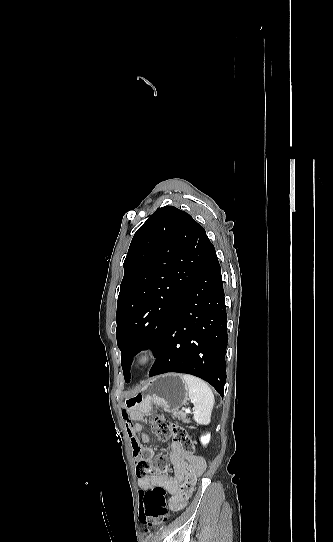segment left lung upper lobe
<instances>
[{"instance_id": "left-lung-upper-lobe-1", "label": "left lung upper lobe", "mask_w": 333, "mask_h": 542, "mask_svg": "<svg viewBox=\"0 0 333 542\" xmlns=\"http://www.w3.org/2000/svg\"><path fill=\"white\" fill-rule=\"evenodd\" d=\"M213 245L205 229L173 206L157 209L136 231L124 261L116 338L125 381L142 349L156 354L171 317Z\"/></svg>"}]
</instances>
